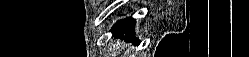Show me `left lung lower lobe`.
Listing matches in <instances>:
<instances>
[{
    "instance_id": "1",
    "label": "left lung lower lobe",
    "mask_w": 249,
    "mask_h": 57,
    "mask_svg": "<svg viewBox=\"0 0 249 57\" xmlns=\"http://www.w3.org/2000/svg\"><path fill=\"white\" fill-rule=\"evenodd\" d=\"M134 25L135 20L132 18H126L124 20L118 21L111 29V32L114 34L115 37H124L126 35V39L133 40L137 44L139 41L136 40L134 36Z\"/></svg>"
}]
</instances>
